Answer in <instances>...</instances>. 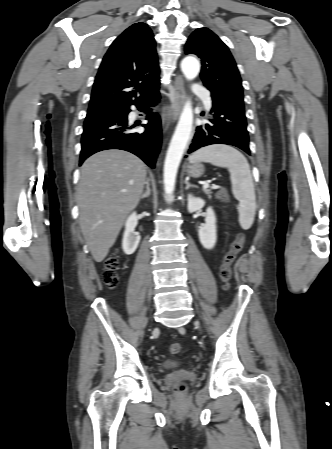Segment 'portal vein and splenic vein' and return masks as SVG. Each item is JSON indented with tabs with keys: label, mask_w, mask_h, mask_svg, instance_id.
<instances>
[{
	"label": "portal vein and splenic vein",
	"mask_w": 332,
	"mask_h": 449,
	"mask_svg": "<svg viewBox=\"0 0 332 449\" xmlns=\"http://www.w3.org/2000/svg\"><path fill=\"white\" fill-rule=\"evenodd\" d=\"M210 186H209V184L208 183H205L204 185H203V189H208ZM216 188V187H215Z\"/></svg>",
	"instance_id": "18ae733b"
}]
</instances>
